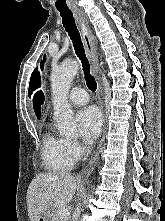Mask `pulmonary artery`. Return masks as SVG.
<instances>
[{
  "mask_svg": "<svg viewBox=\"0 0 165 221\" xmlns=\"http://www.w3.org/2000/svg\"><path fill=\"white\" fill-rule=\"evenodd\" d=\"M68 99L72 104L84 105L88 102V94L83 88L75 87L70 91Z\"/></svg>",
  "mask_w": 165,
  "mask_h": 221,
  "instance_id": "e3ab8cb5",
  "label": "pulmonary artery"
}]
</instances>
